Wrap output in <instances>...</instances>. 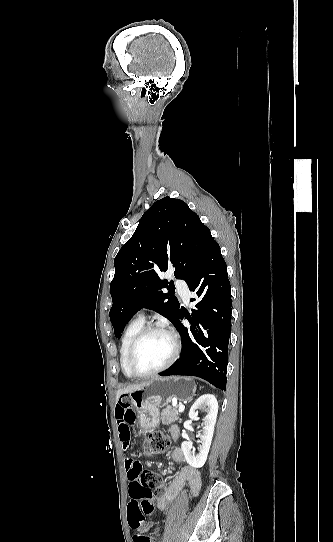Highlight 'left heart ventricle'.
I'll return each mask as SVG.
<instances>
[{"mask_svg": "<svg viewBox=\"0 0 333 542\" xmlns=\"http://www.w3.org/2000/svg\"><path fill=\"white\" fill-rule=\"evenodd\" d=\"M171 353V342L167 335L156 332L147 336L138 346L133 365L139 373H149L159 368Z\"/></svg>", "mask_w": 333, "mask_h": 542, "instance_id": "left-heart-ventricle-1", "label": "left heart ventricle"}]
</instances>
